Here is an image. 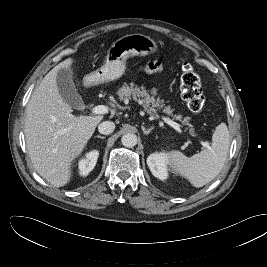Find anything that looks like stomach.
<instances>
[{
  "label": "stomach",
  "mask_w": 267,
  "mask_h": 267,
  "mask_svg": "<svg viewBox=\"0 0 267 267\" xmlns=\"http://www.w3.org/2000/svg\"><path fill=\"white\" fill-rule=\"evenodd\" d=\"M158 50L157 43L143 34L125 35L110 46L104 64L86 77L88 84L110 82L120 78L129 57L147 56Z\"/></svg>",
  "instance_id": "1"
}]
</instances>
